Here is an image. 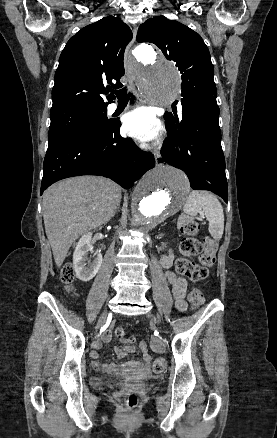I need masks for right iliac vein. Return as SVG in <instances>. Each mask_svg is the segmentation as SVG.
Listing matches in <instances>:
<instances>
[{
    "label": "right iliac vein",
    "instance_id": "63e3f726",
    "mask_svg": "<svg viewBox=\"0 0 277 438\" xmlns=\"http://www.w3.org/2000/svg\"><path fill=\"white\" fill-rule=\"evenodd\" d=\"M106 316H107V312L104 311L101 315V317L98 320V325L101 326L104 324L105 320H106Z\"/></svg>",
    "mask_w": 277,
    "mask_h": 438
}]
</instances>
